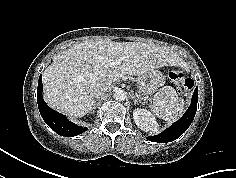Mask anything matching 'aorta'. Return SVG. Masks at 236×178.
<instances>
[{
  "label": "aorta",
  "mask_w": 236,
  "mask_h": 178,
  "mask_svg": "<svg viewBox=\"0 0 236 178\" xmlns=\"http://www.w3.org/2000/svg\"><path fill=\"white\" fill-rule=\"evenodd\" d=\"M113 97L117 101H124L126 99V92L122 89H116Z\"/></svg>",
  "instance_id": "obj_1"
}]
</instances>
